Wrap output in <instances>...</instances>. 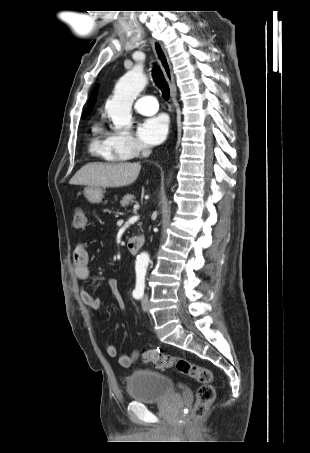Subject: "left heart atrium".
<instances>
[{
    "mask_svg": "<svg viewBox=\"0 0 310 453\" xmlns=\"http://www.w3.org/2000/svg\"><path fill=\"white\" fill-rule=\"evenodd\" d=\"M167 132L168 118L165 115L145 119L137 130L138 137L147 145L159 144L165 139Z\"/></svg>",
    "mask_w": 310,
    "mask_h": 453,
    "instance_id": "left-heart-atrium-1",
    "label": "left heart atrium"
}]
</instances>
